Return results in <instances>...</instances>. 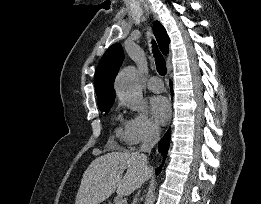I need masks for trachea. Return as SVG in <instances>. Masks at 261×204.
I'll return each mask as SVG.
<instances>
[{"label": "trachea", "instance_id": "1", "mask_svg": "<svg viewBox=\"0 0 261 204\" xmlns=\"http://www.w3.org/2000/svg\"><path fill=\"white\" fill-rule=\"evenodd\" d=\"M152 44H153V53H154V57H155V61H156L157 72L160 75L164 76V75H166V72H167L165 59L162 56V54L159 52V50L157 49L156 43L154 41H152Z\"/></svg>", "mask_w": 261, "mask_h": 204}]
</instances>
